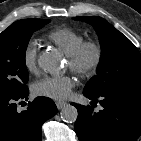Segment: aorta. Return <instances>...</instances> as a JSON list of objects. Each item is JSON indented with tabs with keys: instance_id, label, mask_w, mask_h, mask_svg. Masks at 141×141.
I'll list each match as a JSON object with an SVG mask.
<instances>
[{
	"instance_id": "762f6f07",
	"label": "aorta",
	"mask_w": 141,
	"mask_h": 141,
	"mask_svg": "<svg viewBox=\"0 0 141 141\" xmlns=\"http://www.w3.org/2000/svg\"><path fill=\"white\" fill-rule=\"evenodd\" d=\"M38 65L41 69L51 74L59 72L58 59L52 53H44L38 59ZM61 118L66 123H74L77 119V109L72 105H66L60 112Z\"/></svg>"
}]
</instances>
